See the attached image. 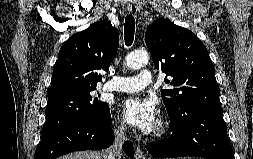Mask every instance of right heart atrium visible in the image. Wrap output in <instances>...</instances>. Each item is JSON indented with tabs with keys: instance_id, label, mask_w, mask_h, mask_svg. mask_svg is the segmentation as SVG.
Returning <instances> with one entry per match:
<instances>
[{
	"instance_id": "d8ad5b80",
	"label": "right heart atrium",
	"mask_w": 253,
	"mask_h": 159,
	"mask_svg": "<svg viewBox=\"0 0 253 159\" xmlns=\"http://www.w3.org/2000/svg\"><path fill=\"white\" fill-rule=\"evenodd\" d=\"M115 129L118 133H124L126 130L124 123L121 121L116 123Z\"/></svg>"
}]
</instances>
